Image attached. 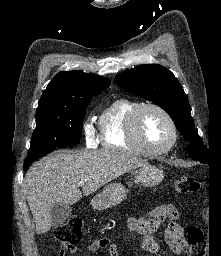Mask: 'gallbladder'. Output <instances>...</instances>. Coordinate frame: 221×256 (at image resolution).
<instances>
[{"label":"gallbladder","mask_w":221,"mask_h":256,"mask_svg":"<svg viewBox=\"0 0 221 256\" xmlns=\"http://www.w3.org/2000/svg\"><path fill=\"white\" fill-rule=\"evenodd\" d=\"M72 208L68 204L55 203L51 210L52 225L57 227L62 225L71 215Z\"/></svg>","instance_id":"1"}]
</instances>
